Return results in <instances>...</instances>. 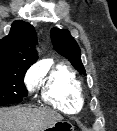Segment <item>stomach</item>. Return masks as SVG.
I'll return each instance as SVG.
<instances>
[{"mask_svg": "<svg viewBox=\"0 0 117 131\" xmlns=\"http://www.w3.org/2000/svg\"><path fill=\"white\" fill-rule=\"evenodd\" d=\"M46 131H74V126L69 121L60 120L46 127Z\"/></svg>", "mask_w": 117, "mask_h": 131, "instance_id": "obj_1", "label": "stomach"}]
</instances>
